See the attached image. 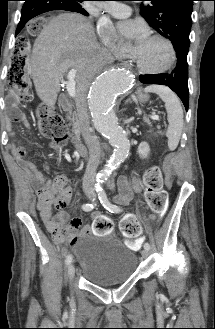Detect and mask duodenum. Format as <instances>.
<instances>
[{
    "mask_svg": "<svg viewBox=\"0 0 215 329\" xmlns=\"http://www.w3.org/2000/svg\"><path fill=\"white\" fill-rule=\"evenodd\" d=\"M59 105L61 106L62 109L66 111H70L72 107L71 98L67 94L62 93L59 98ZM74 148L78 156L83 157L87 153L86 147L78 139L74 140Z\"/></svg>",
    "mask_w": 215,
    "mask_h": 329,
    "instance_id": "1",
    "label": "duodenum"
}]
</instances>
